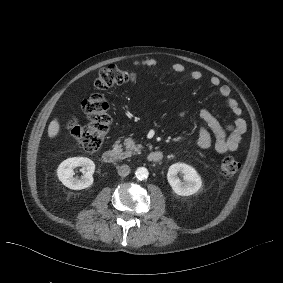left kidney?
<instances>
[{
    "mask_svg": "<svg viewBox=\"0 0 283 283\" xmlns=\"http://www.w3.org/2000/svg\"><path fill=\"white\" fill-rule=\"evenodd\" d=\"M178 175L183 176V181ZM167 180L173 191L180 196H190L201 188L202 180L197 171L185 163L172 164L167 173Z\"/></svg>",
    "mask_w": 283,
    "mask_h": 283,
    "instance_id": "1",
    "label": "left kidney"
}]
</instances>
